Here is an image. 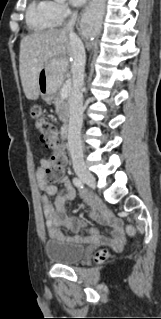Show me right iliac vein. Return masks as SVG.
<instances>
[{"mask_svg":"<svg viewBox=\"0 0 161 319\" xmlns=\"http://www.w3.org/2000/svg\"><path fill=\"white\" fill-rule=\"evenodd\" d=\"M78 177L86 183L88 186L95 187V178L93 175L86 169H76Z\"/></svg>","mask_w":161,"mask_h":319,"instance_id":"right-iliac-vein-1","label":"right iliac vein"}]
</instances>
